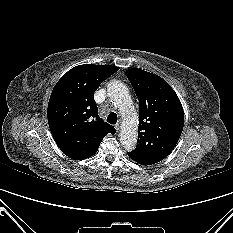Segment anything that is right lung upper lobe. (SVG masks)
I'll return each instance as SVG.
<instances>
[{
    "instance_id": "right-lung-upper-lobe-1",
    "label": "right lung upper lobe",
    "mask_w": 233,
    "mask_h": 233,
    "mask_svg": "<svg viewBox=\"0 0 233 233\" xmlns=\"http://www.w3.org/2000/svg\"><path fill=\"white\" fill-rule=\"evenodd\" d=\"M118 70L111 65H79L55 85L48 103V123L56 144L68 157H91L102 139L115 133V128L99 117L94 92Z\"/></svg>"
}]
</instances>
